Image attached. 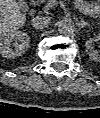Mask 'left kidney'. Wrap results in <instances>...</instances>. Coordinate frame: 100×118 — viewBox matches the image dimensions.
Wrapping results in <instances>:
<instances>
[{"label":"left kidney","instance_id":"1","mask_svg":"<svg viewBox=\"0 0 100 118\" xmlns=\"http://www.w3.org/2000/svg\"><path fill=\"white\" fill-rule=\"evenodd\" d=\"M99 41L98 37L90 38L85 43V48L87 54L90 56L92 60L100 61V53L98 50L94 49V44Z\"/></svg>","mask_w":100,"mask_h":118}]
</instances>
